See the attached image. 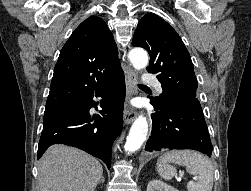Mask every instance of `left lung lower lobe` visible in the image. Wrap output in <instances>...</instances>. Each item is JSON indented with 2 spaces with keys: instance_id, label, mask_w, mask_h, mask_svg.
Segmentation results:
<instances>
[{
  "instance_id": "0a47b994",
  "label": "left lung lower lobe",
  "mask_w": 251,
  "mask_h": 191,
  "mask_svg": "<svg viewBox=\"0 0 251 191\" xmlns=\"http://www.w3.org/2000/svg\"><path fill=\"white\" fill-rule=\"evenodd\" d=\"M152 113V131L145 150L157 153L171 149H194L211 156L212 144L197 98L156 103Z\"/></svg>"
}]
</instances>
